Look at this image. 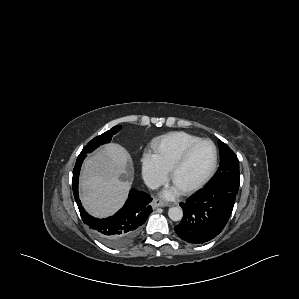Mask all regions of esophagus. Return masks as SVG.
<instances>
[{
    "instance_id": "1",
    "label": "esophagus",
    "mask_w": 299,
    "mask_h": 299,
    "mask_svg": "<svg viewBox=\"0 0 299 299\" xmlns=\"http://www.w3.org/2000/svg\"><path fill=\"white\" fill-rule=\"evenodd\" d=\"M152 206L153 208H157V207H166V206H169L168 203L160 200V199H155L153 202H152Z\"/></svg>"
}]
</instances>
